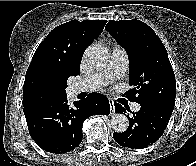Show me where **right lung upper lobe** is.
Masks as SVG:
<instances>
[{
  "mask_svg": "<svg viewBox=\"0 0 196 166\" xmlns=\"http://www.w3.org/2000/svg\"><path fill=\"white\" fill-rule=\"evenodd\" d=\"M106 20H72L53 29L35 51L27 69L23 94L39 74L67 81L80 74V62L86 48L102 32Z\"/></svg>",
  "mask_w": 196,
  "mask_h": 166,
  "instance_id": "obj_1",
  "label": "right lung upper lobe"
}]
</instances>
